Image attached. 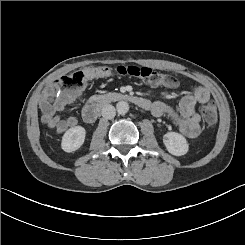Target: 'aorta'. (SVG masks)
Masks as SVG:
<instances>
[{"mask_svg": "<svg viewBox=\"0 0 245 245\" xmlns=\"http://www.w3.org/2000/svg\"><path fill=\"white\" fill-rule=\"evenodd\" d=\"M116 109L119 114H126L129 111V104L126 101H119L116 104Z\"/></svg>", "mask_w": 245, "mask_h": 245, "instance_id": "obj_1", "label": "aorta"}]
</instances>
